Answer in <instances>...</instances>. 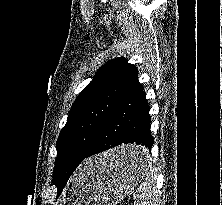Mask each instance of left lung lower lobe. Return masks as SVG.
Returning <instances> with one entry per match:
<instances>
[{
    "label": "left lung lower lobe",
    "mask_w": 222,
    "mask_h": 205,
    "mask_svg": "<svg viewBox=\"0 0 222 205\" xmlns=\"http://www.w3.org/2000/svg\"><path fill=\"white\" fill-rule=\"evenodd\" d=\"M150 107L143 86L139 83L138 72L134 79L115 103L103 125L95 136L88 151L81 157L69 156L62 166L66 177L57 188L62 192L69 177L86 158L121 144L135 143L151 149L154 139L150 133ZM121 164H141L148 160L147 151L135 150L123 152L117 157ZM69 176V177H68Z\"/></svg>",
    "instance_id": "0a47b994"
}]
</instances>
